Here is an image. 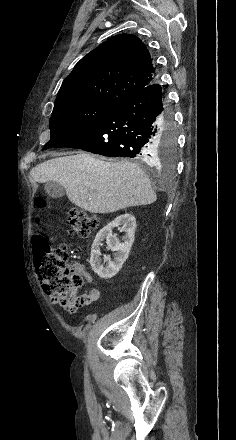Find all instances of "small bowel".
<instances>
[{
  "label": "small bowel",
  "mask_w": 236,
  "mask_h": 440,
  "mask_svg": "<svg viewBox=\"0 0 236 440\" xmlns=\"http://www.w3.org/2000/svg\"><path fill=\"white\" fill-rule=\"evenodd\" d=\"M50 241L54 242L55 238H50ZM34 248H35L34 256L36 258L38 249L35 246H34ZM74 266L77 268L78 271H80L82 273V275L84 276V278L88 282L91 283L93 281L92 276L85 270V268H84V266L82 264L77 263V264H74ZM82 296L85 298V301H84L83 305H89V304H91V303H93V302H95V301H97L99 299V297H100V290L97 287L94 286L88 292H85Z\"/></svg>",
  "instance_id": "c3829d8e"
}]
</instances>
